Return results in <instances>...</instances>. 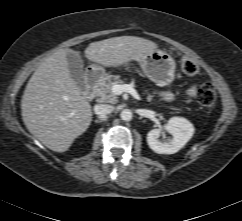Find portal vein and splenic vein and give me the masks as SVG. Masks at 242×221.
<instances>
[{
  "instance_id": "obj_1",
  "label": "portal vein and splenic vein",
  "mask_w": 242,
  "mask_h": 221,
  "mask_svg": "<svg viewBox=\"0 0 242 221\" xmlns=\"http://www.w3.org/2000/svg\"><path fill=\"white\" fill-rule=\"evenodd\" d=\"M113 92L117 95H120L123 92H127L133 96H137L135 89L130 84H116L113 86Z\"/></svg>"
}]
</instances>
